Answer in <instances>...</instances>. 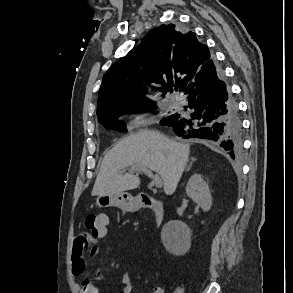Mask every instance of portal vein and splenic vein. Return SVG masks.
<instances>
[{
    "label": "portal vein and splenic vein",
    "mask_w": 293,
    "mask_h": 293,
    "mask_svg": "<svg viewBox=\"0 0 293 293\" xmlns=\"http://www.w3.org/2000/svg\"><path fill=\"white\" fill-rule=\"evenodd\" d=\"M131 170L137 171V172L141 171V172L145 173L147 176H149L153 180V182L157 188L161 187L163 184L162 179L158 175H153L151 170H149L146 167L133 166V167H131Z\"/></svg>",
    "instance_id": "portal-vein-and-splenic-vein-1"
}]
</instances>
